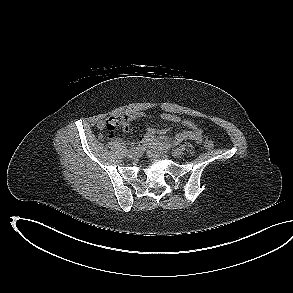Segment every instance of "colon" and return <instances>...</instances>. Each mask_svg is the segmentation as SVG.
<instances>
[{
	"label": "colon",
	"instance_id": "1",
	"mask_svg": "<svg viewBox=\"0 0 293 293\" xmlns=\"http://www.w3.org/2000/svg\"><path fill=\"white\" fill-rule=\"evenodd\" d=\"M117 126V123L116 122H113V121H109L107 123V126H106V130H107V133L109 136H112V133L114 131V128ZM203 144H204V147L208 150L212 149L213 148V141L210 137L208 136H205L204 139H203ZM172 145L170 144H165L161 147L158 148L157 152L154 151L151 153L152 156H156L158 154H162L166 151H168L170 148H171Z\"/></svg>",
	"mask_w": 293,
	"mask_h": 293
}]
</instances>
